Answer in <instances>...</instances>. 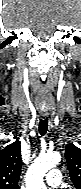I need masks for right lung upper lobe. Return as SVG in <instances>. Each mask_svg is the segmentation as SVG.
Returning a JSON list of instances; mask_svg holds the SVG:
<instances>
[{
  "label": "right lung upper lobe",
  "mask_w": 81,
  "mask_h": 189,
  "mask_svg": "<svg viewBox=\"0 0 81 189\" xmlns=\"http://www.w3.org/2000/svg\"><path fill=\"white\" fill-rule=\"evenodd\" d=\"M21 165V145L16 140L0 151V189L18 188Z\"/></svg>",
  "instance_id": "right-lung-upper-lobe-1"
}]
</instances>
